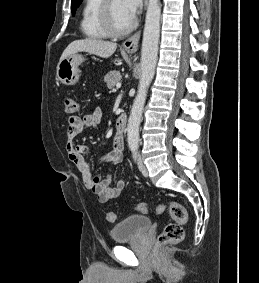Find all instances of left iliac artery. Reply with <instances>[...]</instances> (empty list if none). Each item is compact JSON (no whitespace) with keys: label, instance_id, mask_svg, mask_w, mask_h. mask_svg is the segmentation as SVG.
I'll return each mask as SVG.
<instances>
[{"label":"left iliac artery","instance_id":"1","mask_svg":"<svg viewBox=\"0 0 259 283\" xmlns=\"http://www.w3.org/2000/svg\"><path fill=\"white\" fill-rule=\"evenodd\" d=\"M136 150H137V148H132L133 158H134L135 160H136V156H137Z\"/></svg>","mask_w":259,"mask_h":283}]
</instances>
